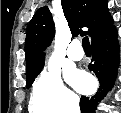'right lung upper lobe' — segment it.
I'll use <instances>...</instances> for the list:
<instances>
[{"instance_id": "obj_1", "label": "right lung upper lobe", "mask_w": 121, "mask_h": 113, "mask_svg": "<svg viewBox=\"0 0 121 113\" xmlns=\"http://www.w3.org/2000/svg\"><path fill=\"white\" fill-rule=\"evenodd\" d=\"M61 5L73 36L87 34L93 39L113 24L107 0H61ZM82 27H88L89 31H79ZM54 35L52 14L47 6H43L36 11L27 28V73L44 63L43 50L51 43Z\"/></svg>"}]
</instances>
